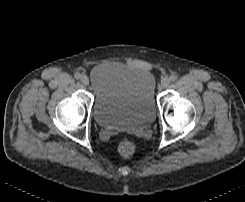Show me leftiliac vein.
Masks as SVG:
<instances>
[{
	"label": "left iliac vein",
	"mask_w": 245,
	"mask_h": 202,
	"mask_svg": "<svg viewBox=\"0 0 245 202\" xmlns=\"http://www.w3.org/2000/svg\"><path fill=\"white\" fill-rule=\"evenodd\" d=\"M169 84H170V79L169 78H163L162 79V81H161V86L163 87V88H167L168 86H169Z\"/></svg>",
	"instance_id": "1"
}]
</instances>
